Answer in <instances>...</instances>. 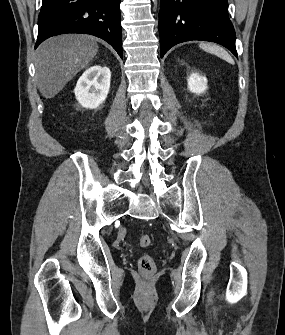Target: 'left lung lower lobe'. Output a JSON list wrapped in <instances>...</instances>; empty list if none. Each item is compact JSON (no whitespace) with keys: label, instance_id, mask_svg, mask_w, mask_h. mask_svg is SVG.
<instances>
[{"label":"left lung lower lobe","instance_id":"0a47b994","mask_svg":"<svg viewBox=\"0 0 285 335\" xmlns=\"http://www.w3.org/2000/svg\"><path fill=\"white\" fill-rule=\"evenodd\" d=\"M159 34L161 58L174 45L191 40L218 43L237 57L227 0H161Z\"/></svg>","mask_w":285,"mask_h":335}]
</instances>
